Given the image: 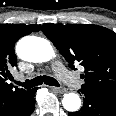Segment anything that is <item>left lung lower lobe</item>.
I'll list each match as a JSON object with an SVG mask.
<instances>
[{
    "label": "left lung lower lobe",
    "mask_w": 116,
    "mask_h": 116,
    "mask_svg": "<svg viewBox=\"0 0 116 116\" xmlns=\"http://www.w3.org/2000/svg\"><path fill=\"white\" fill-rule=\"evenodd\" d=\"M83 107L69 116H116V93L95 89H81Z\"/></svg>",
    "instance_id": "left-lung-lower-lobe-1"
}]
</instances>
